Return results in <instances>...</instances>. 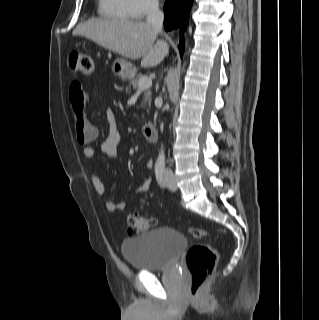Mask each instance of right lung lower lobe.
Segmentation results:
<instances>
[{"instance_id":"1","label":"right lung lower lobe","mask_w":319,"mask_h":320,"mask_svg":"<svg viewBox=\"0 0 319 320\" xmlns=\"http://www.w3.org/2000/svg\"><path fill=\"white\" fill-rule=\"evenodd\" d=\"M193 0H167L164 4V27L165 29L172 30L180 28L182 33L188 25L189 13ZM180 52L183 55L184 41L181 37Z\"/></svg>"}]
</instances>
